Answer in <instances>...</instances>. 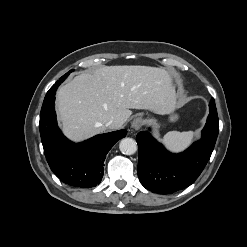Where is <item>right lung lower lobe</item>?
I'll return each mask as SVG.
<instances>
[{"label":"right lung lower lobe","mask_w":247,"mask_h":247,"mask_svg":"<svg viewBox=\"0 0 247 247\" xmlns=\"http://www.w3.org/2000/svg\"><path fill=\"white\" fill-rule=\"evenodd\" d=\"M57 88L54 87L50 97L44 100L40 113L39 128L47 162L66 184L82 188L96 186L103 177L107 153L127 131L97 135L78 144L69 141L57 126L54 110Z\"/></svg>","instance_id":"1"}]
</instances>
